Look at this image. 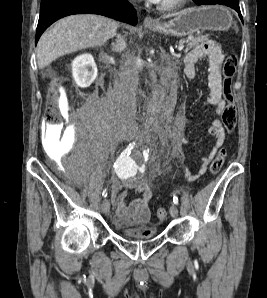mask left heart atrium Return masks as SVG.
Wrapping results in <instances>:
<instances>
[{
  "instance_id": "left-heart-atrium-1",
  "label": "left heart atrium",
  "mask_w": 267,
  "mask_h": 298,
  "mask_svg": "<svg viewBox=\"0 0 267 298\" xmlns=\"http://www.w3.org/2000/svg\"><path fill=\"white\" fill-rule=\"evenodd\" d=\"M149 1H151L153 3H160L161 2V0H149Z\"/></svg>"
}]
</instances>
